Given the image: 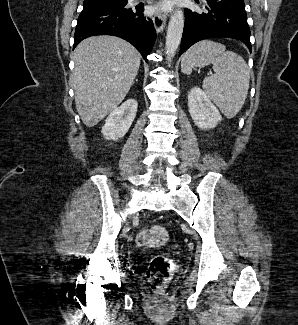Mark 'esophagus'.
I'll return each instance as SVG.
<instances>
[{"instance_id":"1","label":"esophagus","mask_w":298,"mask_h":325,"mask_svg":"<svg viewBox=\"0 0 298 325\" xmlns=\"http://www.w3.org/2000/svg\"><path fill=\"white\" fill-rule=\"evenodd\" d=\"M152 20L154 22V27L156 29L157 33H160L163 31L165 25H166V15L164 13H155L152 16Z\"/></svg>"}]
</instances>
